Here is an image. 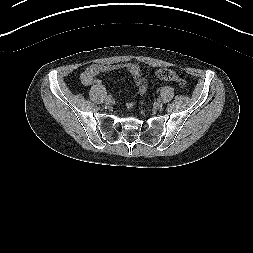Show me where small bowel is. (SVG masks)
Returning <instances> with one entry per match:
<instances>
[{
    "instance_id": "obj_1",
    "label": "small bowel",
    "mask_w": 253,
    "mask_h": 253,
    "mask_svg": "<svg viewBox=\"0 0 253 253\" xmlns=\"http://www.w3.org/2000/svg\"><path fill=\"white\" fill-rule=\"evenodd\" d=\"M124 68L134 77L135 80L140 79L141 69L139 65L128 63ZM115 68L110 65L94 64L89 66L82 74L81 79L85 85H90L95 81L96 76L101 72H110Z\"/></svg>"
}]
</instances>
